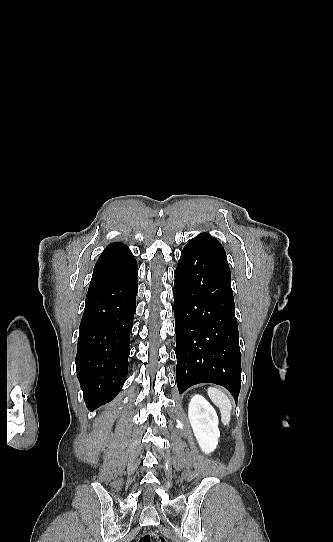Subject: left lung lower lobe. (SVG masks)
<instances>
[{
    "instance_id": "0a47b994",
    "label": "left lung lower lobe",
    "mask_w": 333,
    "mask_h": 542,
    "mask_svg": "<svg viewBox=\"0 0 333 542\" xmlns=\"http://www.w3.org/2000/svg\"><path fill=\"white\" fill-rule=\"evenodd\" d=\"M176 380L179 393L208 382L241 387V355L231 274L225 251L199 238L181 252L175 271Z\"/></svg>"
}]
</instances>
